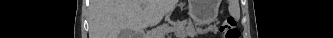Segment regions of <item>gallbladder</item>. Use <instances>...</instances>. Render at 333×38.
Wrapping results in <instances>:
<instances>
[{"mask_svg":"<svg viewBox=\"0 0 333 38\" xmlns=\"http://www.w3.org/2000/svg\"><path fill=\"white\" fill-rule=\"evenodd\" d=\"M134 32L129 29L122 30L120 32L119 38H133Z\"/></svg>","mask_w":333,"mask_h":38,"instance_id":"bac80fb5","label":"gallbladder"}]
</instances>
